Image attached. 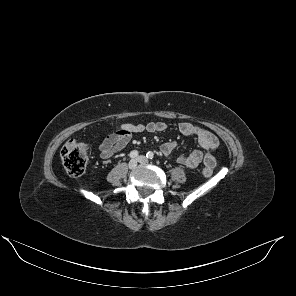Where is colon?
<instances>
[{"instance_id": "1", "label": "colon", "mask_w": 296, "mask_h": 296, "mask_svg": "<svg viewBox=\"0 0 296 296\" xmlns=\"http://www.w3.org/2000/svg\"><path fill=\"white\" fill-rule=\"evenodd\" d=\"M90 154L88 144L74 139L69 140L61 150V161L66 172L71 176L81 175L87 166ZM204 176H211L213 168L205 166L202 170Z\"/></svg>"}]
</instances>
